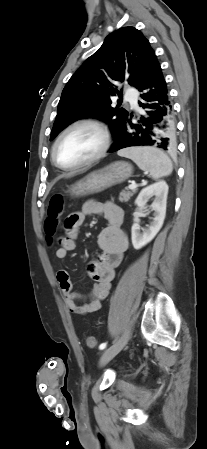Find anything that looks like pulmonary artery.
<instances>
[{
	"label": "pulmonary artery",
	"mask_w": 207,
	"mask_h": 449,
	"mask_svg": "<svg viewBox=\"0 0 207 449\" xmlns=\"http://www.w3.org/2000/svg\"><path fill=\"white\" fill-rule=\"evenodd\" d=\"M125 99L136 108L137 107V91L133 87H129L125 93Z\"/></svg>",
	"instance_id": "pulmonary-artery-1"
}]
</instances>
